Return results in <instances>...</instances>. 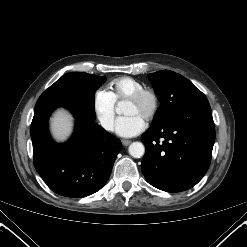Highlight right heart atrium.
Returning <instances> with one entry per match:
<instances>
[{"instance_id":"obj_1","label":"right heart atrium","mask_w":247,"mask_h":247,"mask_svg":"<svg viewBox=\"0 0 247 247\" xmlns=\"http://www.w3.org/2000/svg\"><path fill=\"white\" fill-rule=\"evenodd\" d=\"M94 111L100 126L107 132L114 130L116 102L106 89L98 90L94 95Z\"/></svg>"}]
</instances>
